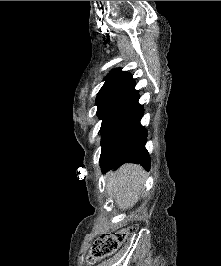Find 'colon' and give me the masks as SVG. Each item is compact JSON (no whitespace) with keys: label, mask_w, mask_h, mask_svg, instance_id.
<instances>
[{"label":"colon","mask_w":221,"mask_h":266,"mask_svg":"<svg viewBox=\"0 0 221 266\" xmlns=\"http://www.w3.org/2000/svg\"><path fill=\"white\" fill-rule=\"evenodd\" d=\"M136 230L137 226L132 225L123 227L111 233L102 234L93 242L88 261L94 263L95 261L112 254L120 247L127 237Z\"/></svg>","instance_id":"colon-1"}]
</instances>
